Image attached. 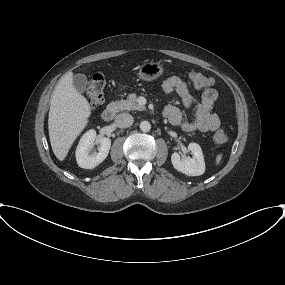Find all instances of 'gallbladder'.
<instances>
[{
	"label": "gallbladder",
	"mask_w": 285,
	"mask_h": 285,
	"mask_svg": "<svg viewBox=\"0 0 285 285\" xmlns=\"http://www.w3.org/2000/svg\"><path fill=\"white\" fill-rule=\"evenodd\" d=\"M73 85L77 91L83 93L86 90V87L88 85L87 77L84 74H80V73L74 75Z\"/></svg>",
	"instance_id": "obj_1"
}]
</instances>
